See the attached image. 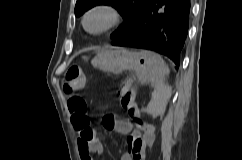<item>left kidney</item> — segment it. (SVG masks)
Here are the masks:
<instances>
[{
	"mask_svg": "<svg viewBox=\"0 0 242 160\" xmlns=\"http://www.w3.org/2000/svg\"><path fill=\"white\" fill-rule=\"evenodd\" d=\"M166 102H167V101L164 102V104L160 107V109H159L158 112H162V111L164 110V107H165V105H166Z\"/></svg>",
	"mask_w": 242,
	"mask_h": 160,
	"instance_id": "obj_1",
	"label": "left kidney"
}]
</instances>
